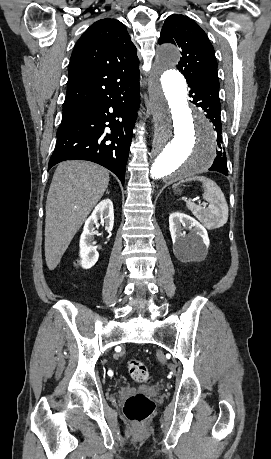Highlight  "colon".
I'll use <instances>...</instances> for the list:
<instances>
[{
	"instance_id": "colon-1",
	"label": "colon",
	"mask_w": 271,
	"mask_h": 459,
	"mask_svg": "<svg viewBox=\"0 0 271 459\" xmlns=\"http://www.w3.org/2000/svg\"><path fill=\"white\" fill-rule=\"evenodd\" d=\"M76 0H69L73 3ZM79 263L77 262V265ZM128 371L132 379L137 382L148 383L151 380V376L146 365L139 361L133 360L129 363ZM154 402L146 395L137 393L130 396L124 404V414L132 422L142 423L144 422L153 412Z\"/></svg>"
}]
</instances>
